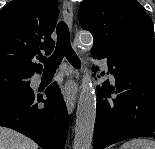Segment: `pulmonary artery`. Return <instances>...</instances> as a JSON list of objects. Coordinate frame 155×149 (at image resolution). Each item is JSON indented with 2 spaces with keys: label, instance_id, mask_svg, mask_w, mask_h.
<instances>
[{
  "label": "pulmonary artery",
  "instance_id": "1",
  "mask_svg": "<svg viewBox=\"0 0 155 149\" xmlns=\"http://www.w3.org/2000/svg\"><path fill=\"white\" fill-rule=\"evenodd\" d=\"M97 63L101 64L105 70L108 69L106 61H97ZM39 76H36V80H39Z\"/></svg>",
  "mask_w": 155,
  "mask_h": 149
}]
</instances>
